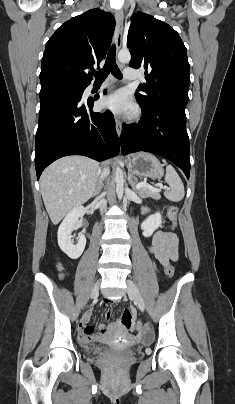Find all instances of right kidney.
Here are the masks:
<instances>
[{
  "instance_id": "right-kidney-1",
  "label": "right kidney",
  "mask_w": 235,
  "mask_h": 404,
  "mask_svg": "<svg viewBox=\"0 0 235 404\" xmlns=\"http://www.w3.org/2000/svg\"><path fill=\"white\" fill-rule=\"evenodd\" d=\"M82 208L76 207L71 210L62 221L58 229V245L61 250L71 259H77L81 256L86 245L85 229L78 235L76 244L71 240V233L79 225V217L81 216Z\"/></svg>"
}]
</instances>
